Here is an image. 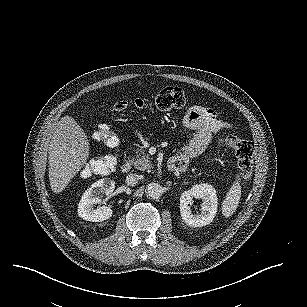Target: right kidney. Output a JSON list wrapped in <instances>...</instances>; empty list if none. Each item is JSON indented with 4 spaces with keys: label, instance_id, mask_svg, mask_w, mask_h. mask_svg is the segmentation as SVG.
<instances>
[{
    "label": "right kidney",
    "instance_id": "obj_1",
    "mask_svg": "<svg viewBox=\"0 0 307 307\" xmlns=\"http://www.w3.org/2000/svg\"><path fill=\"white\" fill-rule=\"evenodd\" d=\"M115 189V181L110 178L99 179L94 182L82 195L78 204V215L90 222H102L112 216V209L108 206L93 208L101 202L102 194L109 195Z\"/></svg>",
    "mask_w": 307,
    "mask_h": 307
}]
</instances>
